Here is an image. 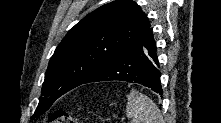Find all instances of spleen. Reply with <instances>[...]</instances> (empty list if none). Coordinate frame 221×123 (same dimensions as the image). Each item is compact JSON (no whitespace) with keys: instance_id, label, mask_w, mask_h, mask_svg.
Returning <instances> with one entry per match:
<instances>
[{"instance_id":"obj_1","label":"spleen","mask_w":221,"mask_h":123,"mask_svg":"<svg viewBox=\"0 0 221 123\" xmlns=\"http://www.w3.org/2000/svg\"><path fill=\"white\" fill-rule=\"evenodd\" d=\"M126 115L131 123H161L157 105L137 90H131L127 95Z\"/></svg>"}]
</instances>
